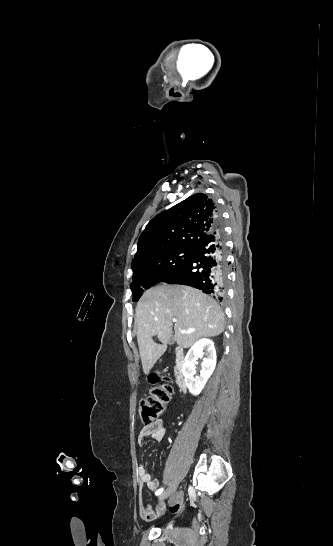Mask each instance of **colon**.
Masks as SVG:
<instances>
[{"label":"colon","mask_w":333,"mask_h":546,"mask_svg":"<svg viewBox=\"0 0 333 546\" xmlns=\"http://www.w3.org/2000/svg\"><path fill=\"white\" fill-rule=\"evenodd\" d=\"M149 381L154 386L149 395L139 403V417L144 427L154 423L164 413L173 393L168 379L160 382V377L156 373H152L149 376Z\"/></svg>","instance_id":"1"}]
</instances>
